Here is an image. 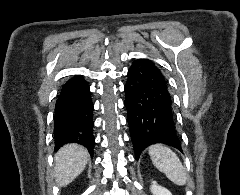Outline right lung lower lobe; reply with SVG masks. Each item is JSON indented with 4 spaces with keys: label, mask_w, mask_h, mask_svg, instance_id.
<instances>
[{
    "label": "right lung lower lobe",
    "mask_w": 240,
    "mask_h": 195,
    "mask_svg": "<svg viewBox=\"0 0 240 195\" xmlns=\"http://www.w3.org/2000/svg\"><path fill=\"white\" fill-rule=\"evenodd\" d=\"M55 150L79 143L93 154V102L88 83L78 75L67 80L59 92L54 113Z\"/></svg>",
    "instance_id": "1"
}]
</instances>
